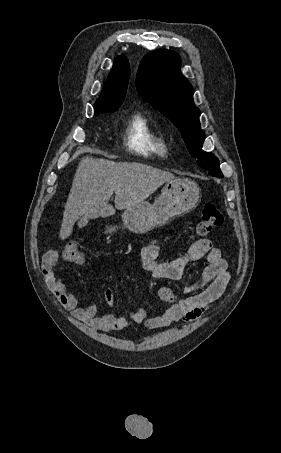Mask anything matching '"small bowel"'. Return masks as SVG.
<instances>
[{"label":"small bowel","instance_id":"obj_1","mask_svg":"<svg viewBox=\"0 0 281 453\" xmlns=\"http://www.w3.org/2000/svg\"><path fill=\"white\" fill-rule=\"evenodd\" d=\"M58 250H49L42 259V271L45 280L59 297L61 302L72 311L80 320L99 331L121 330L129 326L145 323L149 329H158L170 325L172 322L183 319L194 322L201 319L203 312L214 304L223 294L229 280L230 273L226 260L218 249L212 248L210 241L200 238L178 258L159 262V244L152 240L145 245L141 255L143 269L154 278L171 280L181 279L185 270L195 260L205 256L206 265L202 277L185 289L187 297L180 299L176 292L169 287L157 289L158 298L171 304L169 308L158 313H148L144 309H136L127 315L120 316L114 313L99 315L93 304L81 302L55 275V268L59 259ZM203 289V291H199ZM116 292L106 288L103 299L111 304L114 302Z\"/></svg>","mask_w":281,"mask_h":453}]
</instances>
